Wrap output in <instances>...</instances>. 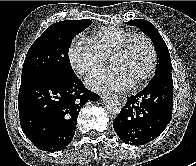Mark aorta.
I'll return each mask as SVG.
<instances>
[{
  "instance_id": "obj_1",
  "label": "aorta",
  "mask_w": 196,
  "mask_h": 166,
  "mask_svg": "<svg viewBox=\"0 0 196 166\" xmlns=\"http://www.w3.org/2000/svg\"><path fill=\"white\" fill-rule=\"evenodd\" d=\"M103 105L112 115H118L122 109L119 99L114 95H107L103 100Z\"/></svg>"
}]
</instances>
